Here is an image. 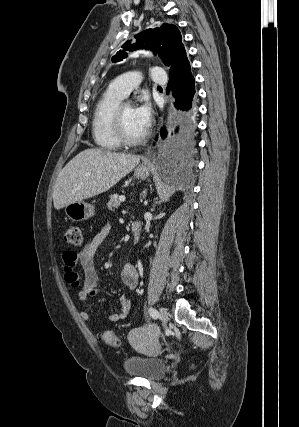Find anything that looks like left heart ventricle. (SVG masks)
I'll return each mask as SVG.
<instances>
[{
	"label": "left heart ventricle",
	"instance_id": "left-heart-ventricle-1",
	"mask_svg": "<svg viewBox=\"0 0 299 427\" xmlns=\"http://www.w3.org/2000/svg\"><path fill=\"white\" fill-rule=\"evenodd\" d=\"M123 126L125 133L129 137H137L145 132V129L140 125L134 107L126 106L123 110Z\"/></svg>",
	"mask_w": 299,
	"mask_h": 427
}]
</instances>
